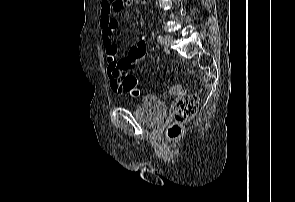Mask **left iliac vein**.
<instances>
[{"label":"left iliac vein","instance_id":"left-iliac-vein-1","mask_svg":"<svg viewBox=\"0 0 295 202\" xmlns=\"http://www.w3.org/2000/svg\"><path fill=\"white\" fill-rule=\"evenodd\" d=\"M171 42H172V36H170V35H166V36L164 37V39H163L162 44H163V46L166 48V47H168V46L170 45Z\"/></svg>","mask_w":295,"mask_h":202}]
</instances>
